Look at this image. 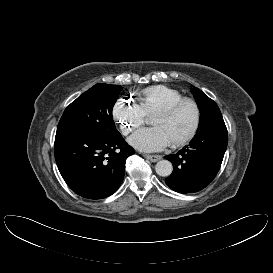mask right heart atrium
<instances>
[{"label":"right heart atrium","instance_id":"d8ad5b80","mask_svg":"<svg viewBox=\"0 0 273 273\" xmlns=\"http://www.w3.org/2000/svg\"><path fill=\"white\" fill-rule=\"evenodd\" d=\"M112 117L123 135H128L148 122L140 107L131 101L119 100L112 109Z\"/></svg>","mask_w":273,"mask_h":273}]
</instances>
